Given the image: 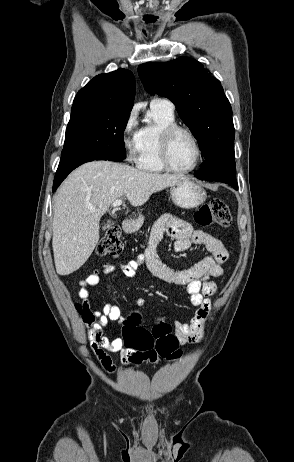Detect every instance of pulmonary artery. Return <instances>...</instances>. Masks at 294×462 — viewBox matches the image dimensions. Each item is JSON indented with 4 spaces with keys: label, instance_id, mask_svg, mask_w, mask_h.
<instances>
[{
    "label": "pulmonary artery",
    "instance_id": "e3ab8cb5",
    "mask_svg": "<svg viewBox=\"0 0 294 462\" xmlns=\"http://www.w3.org/2000/svg\"><path fill=\"white\" fill-rule=\"evenodd\" d=\"M150 105H152V106H160V107L166 108V109H168L170 111H174V104L169 99H166V98L154 97L151 100Z\"/></svg>",
    "mask_w": 294,
    "mask_h": 462
}]
</instances>
